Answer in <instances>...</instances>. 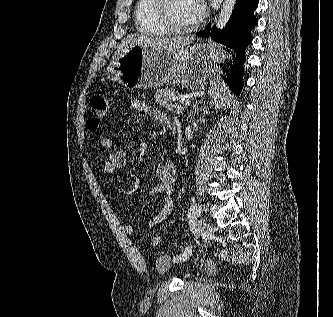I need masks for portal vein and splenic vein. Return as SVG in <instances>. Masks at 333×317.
<instances>
[{"label": "portal vein and splenic vein", "instance_id": "1", "mask_svg": "<svg viewBox=\"0 0 333 317\" xmlns=\"http://www.w3.org/2000/svg\"><path fill=\"white\" fill-rule=\"evenodd\" d=\"M173 100H178L180 104L182 105H188L190 104V100L188 98H185V97H173L172 98Z\"/></svg>", "mask_w": 333, "mask_h": 317}]
</instances>
